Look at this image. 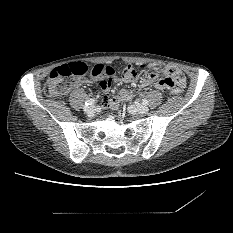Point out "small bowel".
<instances>
[{
    "instance_id": "c3829d8e",
    "label": "small bowel",
    "mask_w": 233,
    "mask_h": 233,
    "mask_svg": "<svg viewBox=\"0 0 233 233\" xmlns=\"http://www.w3.org/2000/svg\"><path fill=\"white\" fill-rule=\"evenodd\" d=\"M150 70L145 73L141 79V87H148L152 83L155 82L158 77V71L161 69H165L167 72V77L165 79H159L155 86L158 90H163L166 86H168L172 91L178 88H183L186 84V79L181 72L180 69L173 65H164L159 62H154L149 65ZM114 69V68H113ZM118 80V76L116 70L114 69V73L106 78H101L99 80V85L102 92L107 95L110 92L111 84ZM78 83L80 84H89L90 81L88 79H79ZM134 98V94L132 91L123 89L121 90L115 97L111 99H105L104 103L107 106H113L121 101H128Z\"/></svg>"
}]
</instances>
